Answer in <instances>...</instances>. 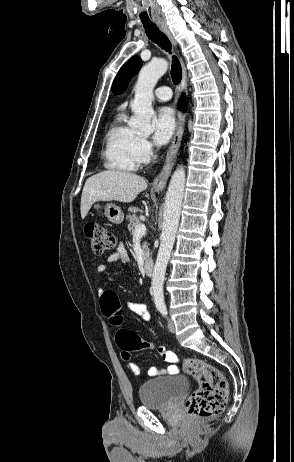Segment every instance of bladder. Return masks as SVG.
Returning a JSON list of instances; mask_svg holds the SVG:
<instances>
[{
  "instance_id": "1",
  "label": "bladder",
  "mask_w": 294,
  "mask_h": 462,
  "mask_svg": "<svg viewBox=\"0 0 294 462\" xmlns=\"http://www.w3.org/2000/svg\"><path fill=\"white\" fill-rule=\"evenodd\" d=\"M189 388L184 376H170L144 381L138 389L142 406L149 409L166 408L177 401Z\"/></svg>"
}]
</instances>
